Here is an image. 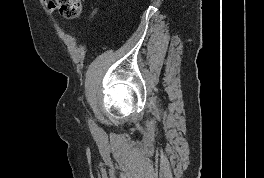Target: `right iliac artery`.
I'll return each instance as SVG.
<instances>
[{
    "label": "right iliac artery",
    "instance_id": "obj_1",
    "mask_svg": "<svg viewBox=\"0 0 264 178\" xmlns=\"http://www.w3.org/2000/svg\"><path fill=\"white\" fill-rule=\"evenodd\" d=\"M89 125H90V126H93V123H92V121H91V120H89Z\"/></svg>",
    "mask_w": 264,
    "mask_h": 178
}]
</instances>
